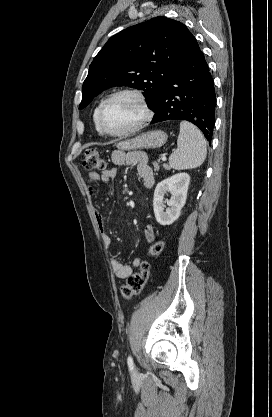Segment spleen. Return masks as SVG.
<instances>
[{"label": "spleen", "instance_id": "3e777b00", "mask_svg": "<svg viewBox=\"0 0 272 417\" xmlns=\"http://www.w3.org/2000/svg\"><path fill=\"white\" fill-rule=\"evenodd\" d=\"M207 155L206 140L192 123L182 121L177 139V149L169 157L173 169L185 170L199 167Z\"/></svg>", "mask_w": 272, "mask_h": 417}]
</instances>
